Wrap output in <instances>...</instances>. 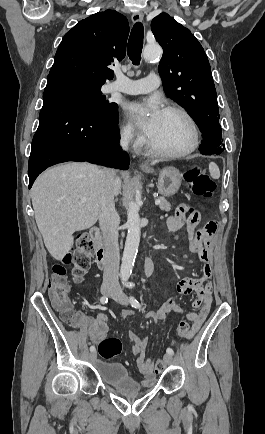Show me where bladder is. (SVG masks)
<instances>
[{
	"label": "bladder",
	"instance_id": "1",
	"mask_svg": "<svg viewBox=\"0 0 265 434\" xmlns=\"http://www.w3.org/2000/svg\"><path fill=\"white\" fill-rule=\"evenodd\" d=\"M97 372L103 382L122 396L136 397L144 392L143 386L131 378L126 367L119 362H98Z\"/></svg>",
	"mask_w": 265,
	"mask_h": 434
}]
</instances>
